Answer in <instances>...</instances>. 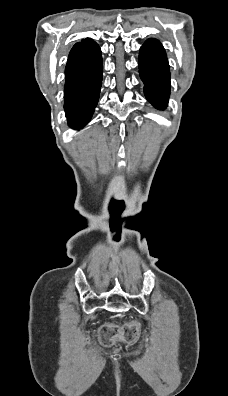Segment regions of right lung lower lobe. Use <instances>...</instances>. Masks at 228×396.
<instances>
[{"label":"right lung lower lobe","instance_id":"obj_1","mask_svg":"<svg viewBox=\"0 0 228 396\" xmlns=\"http://www.w3.org/2000/svg\"><path fill=\"white\" fill-rule=\"evenodd\" d=\"M102 56L99 46L76 43L65 69L64 109L69 126H85L97 105L102 84Z\"/></svg>","mask_w":228,"mask_h":396}]
</instances>
